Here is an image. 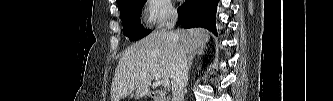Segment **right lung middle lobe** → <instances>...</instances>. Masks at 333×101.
Masks as SVG:
<instances>
[{"label":"right lung middle lobe","instance_id":"right-lung-middle-lobe-1","mask_svg":"<svg viewBox=\"0 0 333 101\" xmlns=\"http://www.w3.org/2000/svg\"><path fill=\"white\" fill-rule=\"evenodd\" d=\"M147 0H121L118 2L123 34L136 41L148 35L151 30L144 29L139 20V13Z\"/></svg>","mask_w":333,"mask_h":101}]
</instances>
